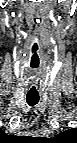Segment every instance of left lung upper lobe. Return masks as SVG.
<instances>
[{
    "label": "left lung upper lobe",
    "instance_id": "obj_1",
    "mask_svg": "<svg viewBox=\"0 0 77 143\" xmlns=\"http://www.w3.org/2000/svg\"><path fill=\"white\" fill-rule=\"evenodd\" d=\"M75 137H76V129L74 128L68 129L62 132L60 135H58V138L62 140H74Z\"/></svg>",
    "mask_w": 77,
    "mask_h": 143
}]
</instances>
